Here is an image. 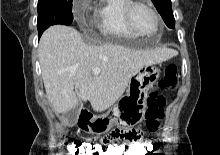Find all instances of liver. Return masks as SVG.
Wrapping results in <instances>:
<instances>
[{
  "label": "liver",
  "instance_id": "obj_1",
  "mask_svg": "<svg viewBox=\"0 0 220 155\" xmlns=\"http://www.w3.org/2000/svg\"><path fill=\"white\" fill-rule=\"evenodd\" d=\"M38 55L47 98L56 113L65 114L80 100L90 101L96 112L110 108L143 66L166 61L174 52L88 45L74 28L55 25L42 34ZM94 68L101 69L95 77Z\"/></svg>",
  "mask_w": 220,
  "mask_h": 155
}]
</instances>
